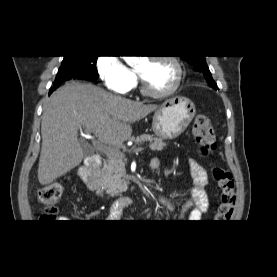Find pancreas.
Wrapping results in <instances>:
<instances>
[{"instance_id": "obj_1", "label": "pancreas", "mask_w": 277, "mask_h": 277, "mask_svg": "<svg viewBox=\"0 0 277 277\" xmlns=\"http://www.w3.org/2000/svg\"><path fill=\"white\" fill-rule=\"evenodd\" d=\"M145 141L149 142V147L152 151H162L166 146L162 139L149 134H143L134 139L136 145ZM124 160V154L116 152L109 156L100 171L99 180L102 187L113 196L125 192L130 183V177L126 174Z\"/></svg>"}]
</instances>
